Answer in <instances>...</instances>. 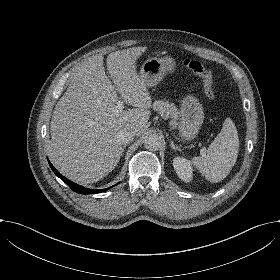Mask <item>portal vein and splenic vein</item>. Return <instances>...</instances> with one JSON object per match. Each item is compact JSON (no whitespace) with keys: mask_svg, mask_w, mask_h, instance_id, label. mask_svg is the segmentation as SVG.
<instances>
[{"mask_svg":"<svg viewBox=\"0 0 280 280\" xmlns=\"http://www.w3.org/2000/svg\"><path fill=\"white\" fill-rule=\"evenodd\" d=\"M117 107H118L120 110H122V109H123L122 103H119Z\"/></svg>","mask_w":280,"mask_h":280,"instance_id":"18ae733b","label":"portal vein and splenic vein"}]
</instances>
